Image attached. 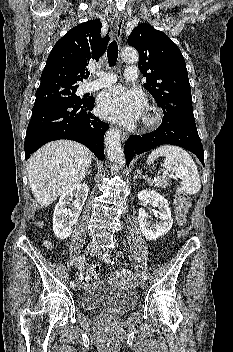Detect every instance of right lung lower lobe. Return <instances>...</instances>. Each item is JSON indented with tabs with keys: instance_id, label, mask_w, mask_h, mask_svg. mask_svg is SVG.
<instances>
[{
	"instance_id": "98d812e1",
	"label": "right lung lower lobe",
	"mask_w": 233,
	"mask_h": 352,
	"mask_svg": "<svg viewBox=\"0 0 233 352\" xmlns=\"http://www.w3.org/2000/svg\"><path fill=\"white\" fill-rule=\"evenodd\" d=\"M95 99L34 105L24 143L25 159L42 145L59 139L77 141L104 160V134L109 125L92 113Z\"/></svg>"
}]
</instances>
